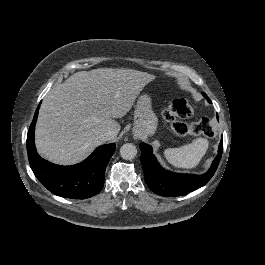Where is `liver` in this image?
<instances>
[{
    "label": "liver",
    "instance_id": "liver-1",
    "mask_svg": "<svg viewBox=\"0 0 265 265\" xmlns=\"http://www.w3.org/2000/svg\"><path fill=\"white\" fill-rule=\"evenodd\" d=\"M155 75L130 68H96L79 71L52 87L38 113L34 142L41 158L61 166L84 161L108 140L107 128L115 138L123 117L141 89Z\"/></svg>",
    "mask_w": 265,
    "mask_h": 265
}]
</instances>
